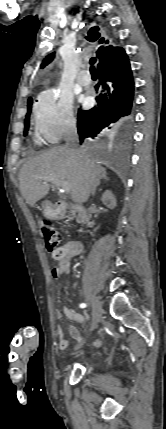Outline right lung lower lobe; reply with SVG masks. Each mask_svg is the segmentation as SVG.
I'll list each match as a JSON object with an SVG mask.
<instances>
[{
  "mask_svg": "<svg viewBox=\"0 0 166 429\" xmlns=\"http://www.w3.org/2000/svg\"><path fill=\"white\" fill-rule=\"evenodd\" d=\"M123 49V48H122ZM120 56L99 61L101 86L97 105L90 110H79L77 127L80 142L95 139L104 133L118 136L127 134L132 122L134 80L129 58L123 49Z\"/></svg>",
  "mask_w": 166,
  "mask_h": 429,
  "instance_id": "1",
  "label": "right lung lower lobe"
}]
</instances>
